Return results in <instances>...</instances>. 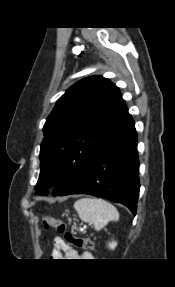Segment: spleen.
<instances>
[{"label": "spleen", "mask_w": 175, "mask_h": 287, "mask_svg": "<svg viewBox=\"0 0 175 287\" xmlns=\"http://www.w3.org/2000/svg\"><path fill=\"white\" fill-rule=\"evenodd\" d=\"M79 218L93 224L99 231L110 221H118L119 214L115 206L101 198H81L74 203Z\"/></svg>", "instance_id": "spleen-1"}]
</instances>
